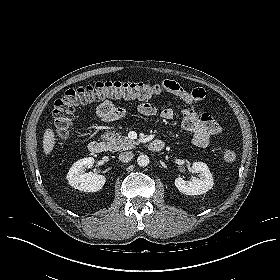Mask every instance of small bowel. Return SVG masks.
I'll use <instances>...</instances> for the list:
<instances>
[{"instance_id":"1","label":"small bowel","mask_w":280,"mask_h":280,"mask_svg":"<svg viewBox=\"0 0 280 280\" xmlns=\"http://www.w3.org/2000/svg\"><path fill=\"white\" fill-rule=\"evenodd\" d=\"M166 91L178 97L187 107L181 111L183 116L182 128L192 135V140L199 147L207 146L213 137L221 133V126L213 116L208 113H198L195 105L205 99L206 91L203 88L185 89L177 82L166 80L163 82ZM138 113L154 117L159 116L165 121L174 119L175 111L171 108L158 109L149 102H141L137 105ZM126 110L114 105L110 101L103 102L96 111V117L102 121H113L123 117Z\"/></svg>"}]
</instances>
